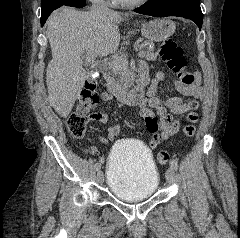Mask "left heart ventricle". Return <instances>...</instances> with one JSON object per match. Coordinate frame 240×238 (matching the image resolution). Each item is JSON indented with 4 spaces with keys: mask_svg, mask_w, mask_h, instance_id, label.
<instances>
[{
    "mask_svg": "<svg viewBox=\"0 0 240 238\" xmlns=\"http://www.w3.org/2000/svg\"><path fill=\"white\" fill-rule=\"evenodd\" d=\"M123 1H133V0H123Z\"/></svg>",
    "mask_w": 240,
    "mask_h": 238,
    "instance_id": "1",
    "label": "left heart ventricle"
}]
</instances>
